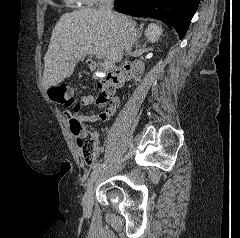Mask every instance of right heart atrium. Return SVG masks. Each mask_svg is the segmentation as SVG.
<instances>
[{
	"label": "right heart atrium",
	"mask_w": 240,
	"mask_h": 238,
	"mask_svg": "<svg viewBox=\"0 0 240 238\" xmlns=\"http://www.w3.org/2000/svg\"><path fill=\"white\" fill-rule=\"evenodd\" d=\"M100 0H80V2L84 5H93L97 2H99Z\"/></svg>",
	"instance_id": "obj_1"
}]
</instances>
